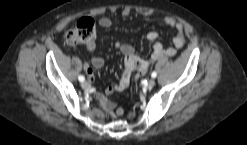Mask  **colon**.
<instances>
[{
    "instance_id": "5ec220e1",
    "label": "colon",
    "mask_w": 247,
    "mask_h": 145,
    "mask_svg": "<svg viewBox=\"0 0 247 145\" xmlns=\"http://www.w3.org/2000/svg\"><path fill=\"white\" fill-rule=\"evenodd\" d=\"M96 35L95 22L93 19L84 17L81 18L74 27L69 29L65 34V41L69 45H88L93 42ZM137 65L138 62L135 61ZM124 76L127 72L124 68Z\"/></svg>"
}]
</instances>
